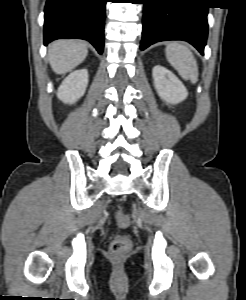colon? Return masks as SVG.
<instances>
[{
    "mask_svg": "<svg viewBox=\"0 0 246 300\" xmlns=\"http://www.w3.org/2000/svg\"><path fill=\"white\" fill-rule=\"evenodd\" d=\"M116 221L120 228H127L130 224L129 217L121 210L116 211ZM131 239L126 235H119L110 244V252L115 259L125 257L131 250Z\"/></svg>",
    "mask_w": 246,
    "mask_h": 300,
    "instance_id": "1",
    "label": "colon"
}]
</instances>
